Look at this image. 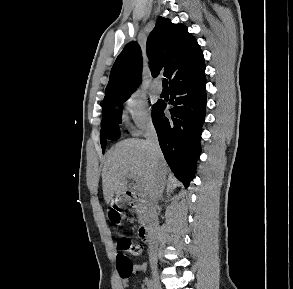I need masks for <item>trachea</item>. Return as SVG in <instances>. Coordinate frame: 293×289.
Wrapping results in <instances>:
<instances>
[{
    "label": "trachea",
    "mask_w": 293,
    "mask_h": 289,
    "mask_svg": "<svg viewBox=\"0 0 293 289\" xmlns=\"http://www.w3.org/2000/svg\"><path fill=\"white\" fill-rule=\"evenodd\" d=\"M162 85H163V87L168 88V80L167 79H163Z\"/></svg>",
    "instance_id": "1"
}]
</instances>
